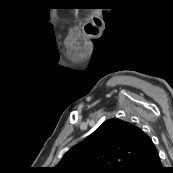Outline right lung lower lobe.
Returning a JSON list of instances; mask_svg holds the SVG:
<instances>
[{
    "label": "right lung lower lobe",
    "mask_w": 173,
    "mask_h": 173,
    "mask_svg": "<svg viewBox=\"0 0 173 173\" xmlns=\"http://www.w3.org/2000/svg\"><path fill=\"white\" fill-rule=\"evenodd\" d=\"M122 173H164L157 150L137 158Z\"/></svg>",
    "instance_id": "1"
}]
</instances>
